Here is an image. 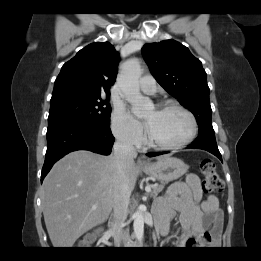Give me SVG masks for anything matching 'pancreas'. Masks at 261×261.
Listing matches in <instances>:
<instances>
[{"instance_id":"1","label":"pancreas","mask_w":261,"mask_h":261,"mask_svg":"<svg viewBox=\"0 0 261 261\" xmlns=\"http://www.w3.org/2000/svg\"><path fill=\"white\" fill-rule=\"evenodd\" d=\"M152 191H151V196L153 198L157 197V195L163 190L164 188V183L160 184V185H153L151 186Z\"/></svg>"}]
</instances>
